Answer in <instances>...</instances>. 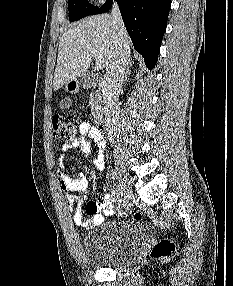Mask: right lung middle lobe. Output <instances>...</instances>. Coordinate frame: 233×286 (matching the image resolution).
<instances>
[{
  "mask_svg": "<svg viewBox=\"0 0 233 286\" xmlns=\"http://www.w3.org/2000/svg\"><path fill=\"white\" fill-rule=\"evenodd\" d=\"M97 7L91 5L88 0H68L69 21H77L91 15Z\"/></svg>",
  "mask_w": 233,
  "mask_h": 286,
  "instance_id": "obj_1",
  "label": "right lung middle lobe"
}]
</instances>
